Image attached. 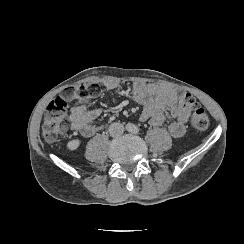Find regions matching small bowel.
<instances>
[{
  "label": "small bowel",
  "mask_w": 244,
  "mask_h": 244,
  "mask_svg": "<svg viewBox=\"0 0 244 244\" xmlns=\"http://www.w3.org/2000/svg\"><path fill=\"white\" fill-rule=\"evenodd\" d=\"M101 83L107 90L116 93L121 90L120 82L117 80L108 79ZM128 95L143 106L140 114L142 122L154 127L167 123V130L175 139L185 135V124L190 115V109L183 104L185 93L176 88L137 81L129 89ZM100 114L101 109L87 110L83 100L74 99L70 111L72 129L86 137L95 135L102 126H94L92 122Z\"/></svg>",
  "instance_id": "obj_1"
}]
</instances>
